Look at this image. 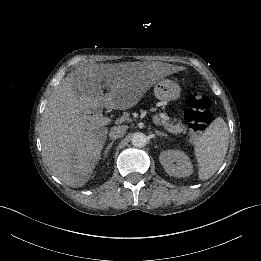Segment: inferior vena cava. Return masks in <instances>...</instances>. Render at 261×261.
Wrapping results in <instances>:
<instances>
[{
    "mask_svg": "<svg viewBox=\"0 0 261 261\" xmlns=\"http://www.w3.org/2000/svg\"><path fill=\"white\" fill-rule=\"evenodd\" d=\"M126 130L127 126L124 125L112 127L109 131V138L111 140L119 139L125 134Z\"/></svg>",
    "mask_w": 261,
    "mask_h": 261,
    "instance_id": "1",
    "label": "inferior vena cava"
}]
</instances>
